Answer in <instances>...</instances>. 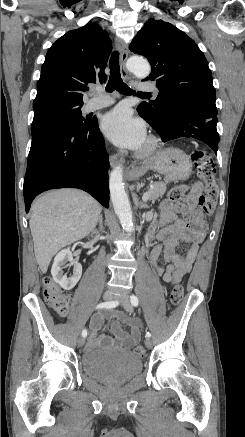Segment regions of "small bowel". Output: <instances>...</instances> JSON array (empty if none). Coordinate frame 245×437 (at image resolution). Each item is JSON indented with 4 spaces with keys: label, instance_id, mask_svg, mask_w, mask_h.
Returning a JSON list of instances; mask_svg holds the SVG:
<instances>
[{
    "label": "small bowel",
    "instance_id": "obj_1",
    "mask_svg": "<svg viewBox=\"0 0 245 437\" xmlns=\"http://www.w3.org/2000/svg\"><path fill=\"white\" fill-rule=\"evenodd\" d=\"M201 190V185L195 184L186 203L164 201L161 205L160 219L150 229L149 237L159 241V244L152 250L151 265L154 272L168 284L180 283L182 278L191 271L200 244L205 238L207 220L196 207V199ZM180 243L189 245L184 255L174 254L175 247ZM163 252L166 254L165 263L158 265L157 260ZM104 319L103 314H97L92 318V336L87 345L88 349H93L98 344L109 345L111 343L129 349L139 341L140 322L138 319L117 314L111 326L114 340L106 335L98 334ZM122 322L130 326V334L122 329Z\"/></svg>",
    "mask_w": 245,
    "mask_h": 437
}]
</instances>
